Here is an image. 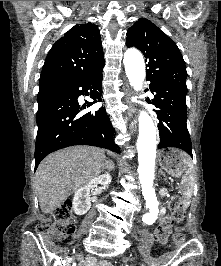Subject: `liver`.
<instances>
[{
    "instance_id": "6515ba94",
    "label": "liver",
    "mask_w": 221,
    "mask_h": 266,
    "mask_svg": "<svg viewBox=\"0 0 221 266\" xmlns=\"http://www.w3.org/2000/svg\"><path fill=\"white\" fill-rule=\"evenodd\" d=\"M107 168L103 149L73 146L48 155L38 166L34 186L43 213H51L74 191Z\"/></svg>"
}]
</instances>
